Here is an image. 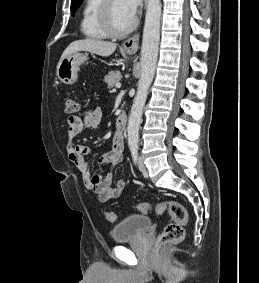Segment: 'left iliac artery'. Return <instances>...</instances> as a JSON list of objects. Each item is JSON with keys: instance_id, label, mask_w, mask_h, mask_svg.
Listing matches in <instances>:
<instances>
[{"instance_id": "obj_1", "label": "left iliac artery", "mask_w": 259, "mask_h": 283, "mask_svg": "<svg viewBox=\"0 0 259 283\" xmlns=\"http://www.w3.org/2000/svg\"><path fill=\"white\" fill-rule=\"evenodd\" d=\"M138 148L137 147H132L131 148V153H132V158L134 163L137 162L138 154H137Z\"/></svg>"}]
</instances>
